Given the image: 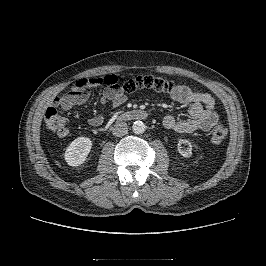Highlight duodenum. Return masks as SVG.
<instances>
[{
	"instance_id": "1",
	"label": "duodenum",
	"mask_w": 266,
	"mask_h": 266,
	"mask_svg": "<svg viewBox=\"0 0 266 266\" xmlns=\"http://www.w3.org/2000/svg\"><path fill=\"white\" fill-rule=\"evenodd\" d=\"M148 118V113L145 110L134 109L121 112L117 115V120H144Z\"/></svg>"
}]
</instances>
